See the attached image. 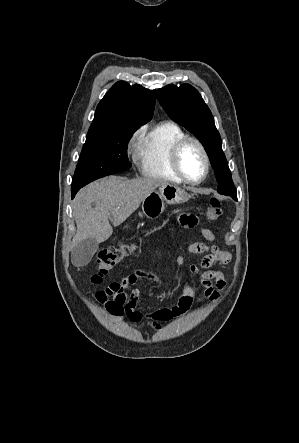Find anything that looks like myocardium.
Returning <instances> with one entry per match:
<instances>
[{
	"label": "myocardium",
	"mask_w": 299,
	"mask_h": 443,
	"mask_svg": "<svg viewBox=\"0 0 299 443\" xmlns=\"http://www.w3.org/2000/svg\"><path fill=\"white\" fill-rule=\"evenodd\" d=\"M189 143H194L195 145H197V147L199 148L203 160H204V173L203 175L196 180H192L190 178H188L186 176V174L184 173L182 167H181V163H180V156H181V152L184 149V147L189 144ZM171 162H172V167L175 171V173L179 176V178L188 184H200L203 181H205V179L207 178L209 172H210V159H209V155L207 153V150L204 146V144L196 137H191V136H185L182 139H180L174 146L172 149V153H171Z\"/></svg>",
	"instance_id": "f54148a6"
}]
</instances>
